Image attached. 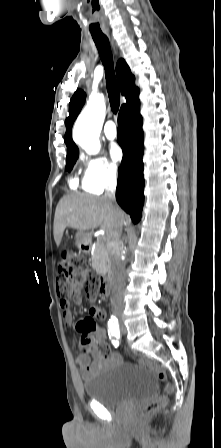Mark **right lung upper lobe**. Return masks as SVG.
Wrapping results in <instances>:
<instances>
[{"label": "right lung upper lobe", "mask_w": 221, "mask_h": 448, "mask_svg": "<svg viewBox=\"0 0 221 448\" xmlns=\"http://www.w3.org/2000/svg\"><path fill=\"white\" fill-rule=\"evenodd\" d=\"M116 75L121 93L126 97L127 100L126 104H123L121 106V109H123L138 100L139 89L135 87V78L132 75L130 68L123 59H120L117 62ZM85 97L86 95L83 91L77 90L69 103V116L65 120L66 134L64 137L65 143L67 145V156L79 153L76 144L71 138V129L74 120L76 119L85 102Z\"/></svg>", "instance_id": "obj_1"}]
</instances>
